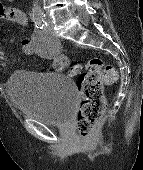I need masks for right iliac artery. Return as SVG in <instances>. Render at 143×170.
<instances>
[{
    "instance_id": "82829eb1",
    "label": "right iliac artery",
    "mask_w": 143,
    "mask_h": 170,
    "mask_svg": "<svg viewBox=\"0 0 143 170\" xmlns=\"http://www.w3.org/2000/svg\"><path fill=\"white\" fill-rule=\"evenodd\" d=\"M34 23L37 28L42 29L45 25H47L45 15L34 18Z\"/></svg>"
}]
</instances>
